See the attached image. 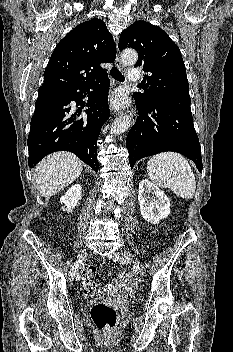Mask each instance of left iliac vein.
I'll return each mask as SVG.
<instances>
[{
    "instance_id": "1",
    "label": "left iliac vein",
    "mask_w": 233,
    "mask_h": 352,
    "mask_svg": "<svg viewBox=\"0 0 233 352\" xmlns=\"http://www.w3.org/2000/svg\"><path fill=\"white\" fill-rule=\"evenodd\" d=\"M112 257L114 258L115 261L120 262L122 264L134 263V265L136 267L137 274L139 276H141V277L145 275L144 266L142 264L134 262L132 256L129 253H126V252H114L112 254Z\"/></svg>"
}]
</instances>
